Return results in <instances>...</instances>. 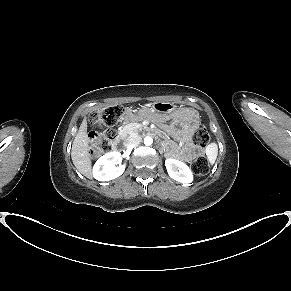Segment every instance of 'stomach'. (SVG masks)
Masks as SVG:
<instances>
[{"instance_id":"stomach-1","label":"stomach","mask_w":291,"mask_h":291,"mask_svg":"<svg viewBox=\"0 0 291 291\" xmlns=\"http://www.w3.org/2000/svg\"><path fill=\"white\" fill-rule=\"evenodd\" d=\"M153 109L162 114V115H171L173 109L177 108L178 106H176L174 103H170V102H154L152 104Z\"/></svg>"}]
</instances>
